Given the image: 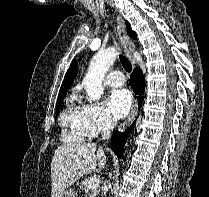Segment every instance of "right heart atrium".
Segmentation results:
<instances>
[{
    "label": "right heart atrium",
    "mask_w": 209,
    "mask_h": 197,
    "mask_svg": "<svg viewBox=\"0 0 209 197\" xmlns=\"http://www.w3.org/2000/svg\"><path fill=\"white\" fill-rule=\"evenodd\" d=\"M81 112L89 137H95L114 126V119L101 103H83Z\"/></svg>",
    "instance_id": "d8ad5b80"
}]
</instances>
